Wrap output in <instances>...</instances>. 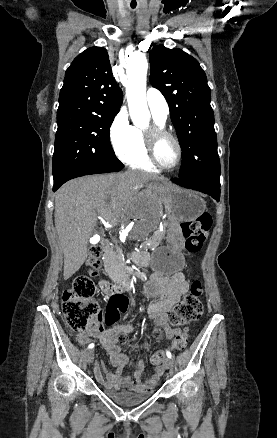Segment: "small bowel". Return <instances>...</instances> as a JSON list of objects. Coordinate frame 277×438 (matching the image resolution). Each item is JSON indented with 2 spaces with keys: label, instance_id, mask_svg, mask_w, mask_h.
<instances>
[{
  "label": "small bowel",
  "instance_id": "small-bowel-1",
  "mask_svg": "<svg viewBox=\"0 0 277 438\" xmlns=\"http://www.w3.org/2000/svg\"><path fill=\"white\" fill-rule=\"evenodd\" d=\"M189 289V284L181 272L171 276L161 273H154L150 281L145 285V294L149 297H156L157 300L148 305L147 312L149 322L164 328L167 338L175 339L181 335V331L169 324L168 313L177 304ZM138 332V326L133 324H121L113 328L97 326L88 331L76 335V341L80 345H87L92 339H98L102 347L107 351L110 364L114 371L108 370L107 364L101 365V370L106 374V381L103 380L98 365L95 367V375L99 383L110 389L128 388L135 391H146L154 388L164 374L163 368H156L154 374L146 381L142 380L145 363L139 360L131 363L126 354L121 352L119 337L129 336ZM154 365V363H152ZM131 366L132 376H124V370ZM155 366V365H154Z\"/></svg>",
  "mask_w": 277,
  "mask_h": 438
}]
</instances>
